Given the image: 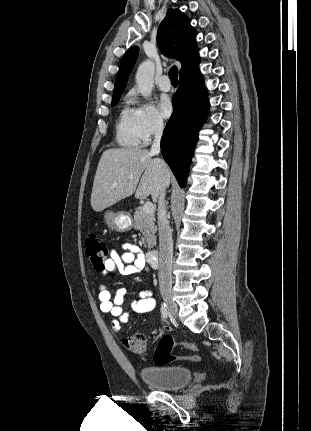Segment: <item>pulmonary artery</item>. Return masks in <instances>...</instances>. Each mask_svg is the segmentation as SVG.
<instances>
[{
  "label": "pulmonary artery",
  "mask_w": 311,
  "mask_h": 431,
  "mask_svg": "<svg viewBox=\"0 0 311 431\" xmlns=\"http://www.w3.org/2000/svg\"><path fill=\"white\" fill-rule=\"evenodd\" d=\"M158 85L160 90L164 92H169L172 88V84L170 82V79L167 75H163L159 78Z\"/></svg>",
  "instance_id": "e3ab8cb5"
}]
</instances>
